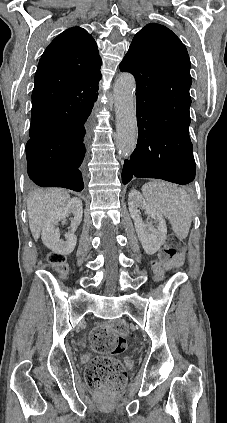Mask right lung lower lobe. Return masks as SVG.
<instances>
[{"label":"right lung lower lobe","mask_w":227,"mask_h":423,"mask_svg":"<svg viewBox=\"0 0 227 423\" xmlns=\"http://www.w3.org/2000/svg\"><path fill=\"white\" fill-rule=\"evenodd\" d=\"M97 97L81 96L68 101L32 102L31 124L58 121L57 127L26 144L28 175L40 187L82 191V171L87 161V119Z\"/></svg>","instance_id":"98d812e1"}]
</instances>
